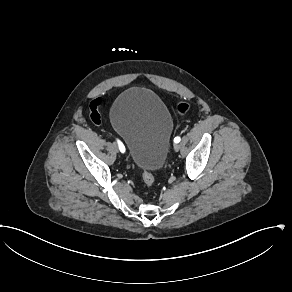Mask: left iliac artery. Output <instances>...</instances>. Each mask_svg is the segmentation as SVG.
<instances>
[{"label": "left iliac artery", "mask_w": 292, "mask_h": 292, "mask_svg": "<svg viewBox=\"0 0 292 292\" xmlns=\"http://www.w3.org/2000/svg\"><path fill=\"white\" fill-rule=\"evenodd\" d=\"M180 140H181V139H180V137H179V136H177V137H175V138H174V142H175V143H179V142H180Z\"/></svg>", "instance_id": "1"}]
</instances>
